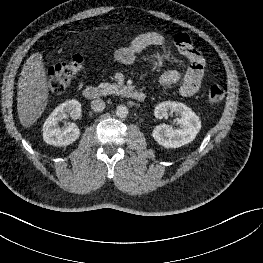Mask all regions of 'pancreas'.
I'll list each match as a JSON object with an SVG mask.
<instances>
[{"mask_svg":"<svg viewBox=\"0 0 263 263\" xmlns=\"http://www.w3.org/2000/svg\"><path fill=\"white\" fill-rule=\"evenodd\" d=\"M98 87L102 95L118 94L121 89V86L110 83H100Z\"/></svg>","mask_w":263,"mask_h":263,"instance_id":"1","label":"pancreas"}]
</instances>
